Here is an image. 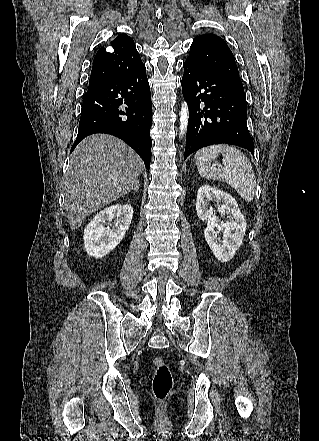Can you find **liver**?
<instances>
[{
    "label": "liver",
    "mask_w": 319,
    "mask_h": 441,
    "mask_svg": "<svg viewBox=\"0 0 319 441\" xmlns=\"http://www.w3.org/2000/svg\"><path fill=\"white\" fill-rule=\"evenodd\" d=\"M70 160L64 195L72 230L78 229L90 214L133 190L144 169L134 150L105 134L87 136Z\"/></svg>",
    "instance_id": "1"
}]
</instances>
